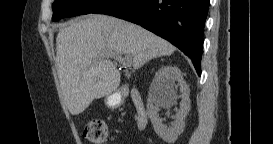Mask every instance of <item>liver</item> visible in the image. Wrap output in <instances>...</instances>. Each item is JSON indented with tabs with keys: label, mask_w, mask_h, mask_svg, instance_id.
<instances>
[{
	"label": "liver",
	"mask_w": 273,
	"mask_h": 144,
	"mask_svg": "<svg viewBox=\"0 0 273 144\" xmlns=\"http://www.w3.org/2000/svg\"><path fill=\"white\" fill-rule=\"evenodd\" d=\"M176 48L165 39L127 21L100 14L71 21L56 38V68L69 112L82 113L94 99L116 91L120 72L109 53L131 57L134 68Z\"/></svg>",
	"instance_id": "liver-1"
}]
</instances>
